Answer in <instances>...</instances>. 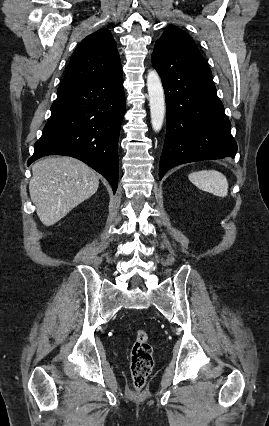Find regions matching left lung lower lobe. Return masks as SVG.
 <instances>
[{
  "label": "left lung lower lobe",
  "instance_id": "1",
  "mask_svg": "<svg viewBox=\"0 0 269 426\" xmlns=\"http://www.w3.org/2000/svg\"><path fill=\"white\" fill-rule=\"evenodd\" d=\"M152 63L166 97V138L159 179L170 168L195 161L235 157L237 144L201 53L155 43Z\"/></svg>",
  "mask_w": 269,
  "mask_h": 426
}]
</instances>
